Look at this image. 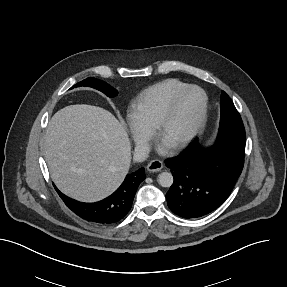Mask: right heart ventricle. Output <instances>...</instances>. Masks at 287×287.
<instances>
[{"label":"right heart ventricle","instance_id":"1","mask_svg":"<svg viewBox=\"0 0 287 287\" xmlns=\"http://www.w3.org/2000/svg\"><path fill=\"white\" fill-rule=\"evenodd\" d=\"M186 86V83L176 79H167L150 86L134 102L131 117L143 129H155L172 96Z\"/></svg>","mask_w":287,"mask_h":287}]
</instances>
